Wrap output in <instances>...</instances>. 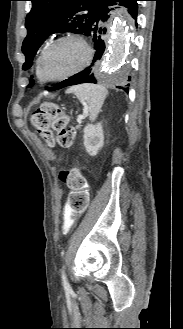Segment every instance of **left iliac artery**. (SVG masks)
I'll use <instances>...</instances> for the list:
<instances>
[{"mask_svg":"<svg viewBox=\"0 0 183 329\" xmlns=\"http://www.w3.org/2000/svg\"><path fill=\"white\" fill-rule=\"evenodd\" d=\"M62 284H63V287H64L65 291H71V286H70L69 281L66 277L64 269H62Z\"/></svg>","mask_w":183,"mask_h":329,"instance_id":"obj_1","label":"left iliac artery"}]
</instances>
